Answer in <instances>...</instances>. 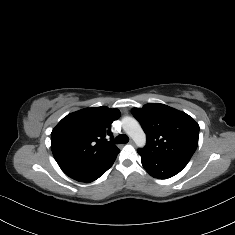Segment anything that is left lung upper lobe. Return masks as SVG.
Here are the masks:
<instances>
[{"label":"left lung upper lobe","mask_w":235,"mask_h":235,"mask_svg":"<svg viewBox=\"0 0 235 235\" xmlns=\"http://www.w3.org/2000/svg\"><path fill=\"white\" fill-rule=\"evenodd\" d=\"M141 124L147 143L142 150L150 155L188 163L198 146L199 125L188 114L160 103L132 109Z\"/></svg>","instance_id":"obj_1"}]
</instances>
